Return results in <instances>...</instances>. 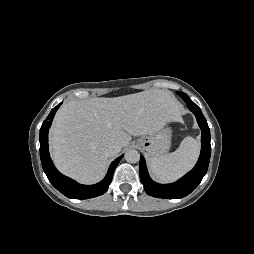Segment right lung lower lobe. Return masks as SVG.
Wrapping results in <instances>:
<instances>
[{
  "mask_svg": "<svg viewBox=\"0 0 254 254\" xmlns=\"http://www.w3.org/2000/svg\"><path fill=\"white\" fill-rule=\"evenodd\" d=\"M62 103L58 104L54 107L46 120L43 122L40 129V158L43 170L51 182V184L62 194H64L68 198L72 199H88L93 198L105 193L112 181L113 172L117 167L119 161L123 157L121 155L115 161H113L109 167V170L105 176V178L94 185H82L77 183L76 181L62 175L58 170L54 167L52 160L49 156L48 150V131L51 126L52 120L58 108Z\"/></svg>",
  "mask_w": 254,
  "mask_h": 254,
  "instance_id": "right-lung-lower-lobe-1",
  "label": "right lung lower lobe"
}]
</instances>
